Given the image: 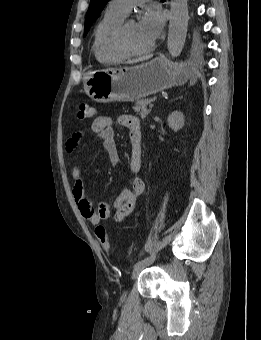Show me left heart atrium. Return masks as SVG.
Masks as SVG:
<instances>
[{"label": "left heart atrium", "mask_w": 261, "mask_h": 340, "mask_svg": "<svg viewBox=\"0 0 261 340\" xmlns=\"http://www.w3.org/2000/svg\"><path fill=\"white\" fill-rule=\"evenodd\" d=\"M137 25L141 33L153 43L162 32L164 18L160 12L148 8L142 14Z\"/></svg>", "instance_id": "39dd6f15"}]
</instances>
